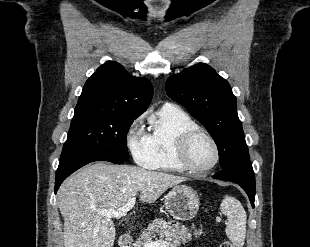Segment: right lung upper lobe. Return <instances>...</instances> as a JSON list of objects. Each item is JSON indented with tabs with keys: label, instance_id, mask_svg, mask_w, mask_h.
Instances as JSON below:
<instances>
[{
	"label": "right lung upper lobe",
	"instance_id": "obj_1",
	"mask_svg": "<svg viewBox=\"0 0 310 247\" xmlns=\"http://www.w3.org/2000/svg\"><path fill=\"white\" fill-rule=\"evenodd\" d=\"M153 95L151 82L129 74L122 65L107 61L86 81L75 112H114L139 116Z\"/></svg>",
	"mask_w": 310,
	"mask_h": 247
}]
</instances>
